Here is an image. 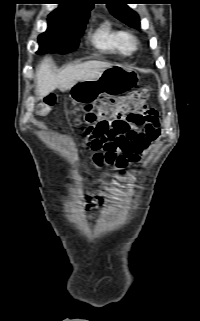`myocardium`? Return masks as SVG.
<instances>
[{
	"instance_id": "myocardium-1",
	"label": "myocardium",
	"mask_w": 200,
	"mask_h": 321,
	"mask_svg": "<svg viewBox=\"0 0 200 321\" xmlns=\"http://www.w3.org/2000/svg\"><path fill=\"white\" fill-rule=\"evenodd\" d=\"M139 40L133 34H128L127 45L131 51H136L139 48Z\"/></svg>"
}]
</instances>
